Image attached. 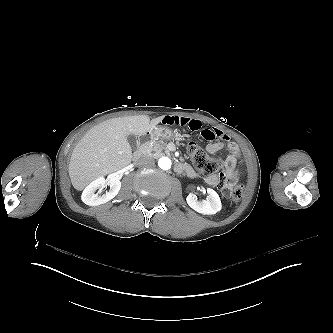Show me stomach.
<instances>
[{
	"mask_svg": "<svg viewBox=\"0 0 333 333\" xmlns=\"http://www.w3.org/2000/svg\"><path fill=\"white\" fill-rule=\"evenodd\" d=\"M145 140L142 144L150 143L157 139L169 140L173 138L174 140L180 139L179 133H174L173 130L168 126L158 125L150 130L146 135H144ZM181 140L186 141L187 143L193 142V137L190 134H182Z\"/></svg>",
	"mask_w": 333,
	"mask_h": 333,
	"instance_id": "obj_1",
	"label": "stomach"
}]
</instances>
